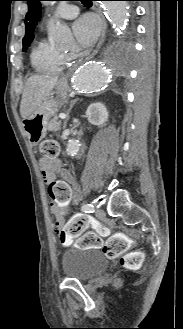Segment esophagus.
<instances>
[{"label":"esophagus","mask_w":183,"mask_h":329,"mask_svg":"<svg viewBox=\"0 0 183 329\" xmlns=\"http://www.w3.org/2000/svg\"><path fill=\"white\" fill-rule=\"evenodd\" d=\"M93 7H94V10L97 12V14H98V16L100 17V20H101V27H102L101 36H100V39L98 41V44H97L96 48L90 54H88L84 58V60H80L77 64H80L83 61H86V60H89V59L93 58L97 54L99 48L102 46V44L104 43V40H105V35H106V30H107V22L105 20L104 15H103L102 9L98 6V4L94 3ZM66 79H67V77L64 76V77H62L61 80L64 81Z\"/></svg>","instance_id":"obj_1"}]
</instances>
